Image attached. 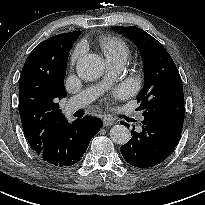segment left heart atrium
Returning a JSON list of instances; mask_svg holds the SVG:
<instances>
[{
  "instance_id": "left-heart-atrium-1",
  "label": "left heart atrium",
  "mask_w": 205,
  "mask_h": 205,
  "mask_svg": "<svg viewBox=\"0 0 205 205\" xmlns=\"http://www.w3.org/2000/svg\"><path fill=\"white\" fill-rule=\"evenodd\" d=\"M114 93L117 96H123L125 94V90L124 89H117Z\"/></svg>"
}]
</instances>
